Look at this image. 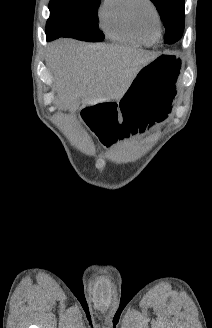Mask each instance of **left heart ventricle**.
I'll return each instance as SVG.
<instances>
[{
	"label": "left heart ventricle",
	"instance_id": "b2bd125f",
	"mask_svg": "<svg viewBox=\"0 0 212 328\" xmlns=\"http://www.w3.org/2000/svg\"><path fill=\"white\" fill-rule=\"evenodd\" d=\"M138 17L148 34L156 32V22L153 11L147 5H141L138 8Z\"/></svg>",
	"mask_w": 212,
	"mask_h": 328
}]
</instances>
